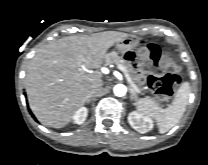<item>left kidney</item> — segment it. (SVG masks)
<instances>
[{
    "label": "left kidney",
    "mask_w": 208,
    "mask_h": 165,
    "mask_svg": "<svg viewBox=\"0 0 208 165\" xmlns=\"http://www.w3.org/2000/svg\"><path fill=\"white\" fill-rule=\"evenodd\" d=\"M128 122L139 133H147L153 129L152 119L135 111L128 115Z\"/></svg>",
    "instance_id": "1"
}]
</instances>
